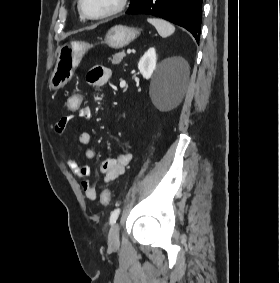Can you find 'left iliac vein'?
Returning <instances> with one entry per match:
<instances>
[{
	"label": "left iliac vein",
	"mask_w": 280,
	"mask_h": 283,
	"mask_svg": "<svg viewBox=\"0 0 280 283\" xmlns=\"http://www.w3.org/2000/svg\"><path fill=\"white\" fill-rule=\"evenodd\" d=\"M119 231L120 227L119 224L116 223L112 226V228L109 231L108 234V244L110 247H117L119 246L120 240H119Z\"/></svg>",
	"instance_id": "obj_1"
}]
</instances>
